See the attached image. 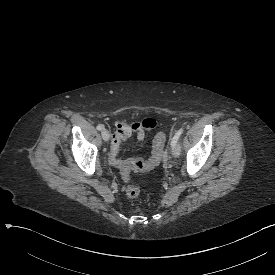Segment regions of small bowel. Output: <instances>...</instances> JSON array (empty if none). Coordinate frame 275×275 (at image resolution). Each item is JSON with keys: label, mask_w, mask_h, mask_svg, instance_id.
<instances>
[{"label": "small bowel", "mask_w": 275, "mask_h": 275, "mask_svg": "<svg viewBox=\"0 0 275 275\" xmlns=\"http://www.w3.org/2000/svg\"><path fill=\"white\" fill-rule=\"evenodd\" d=\"M114 126L111 127V134L115 135L110 148L109 160L111 164L114 166H121L123 161L118 157L119 151L121 148L122 140L131 139L132 132L137 134L138 142H142L144 140V133L146 131H152L158 128V121L147 118L141 121V123L137 122H127L122 119H115Z\"/></svg>", "instance_id": "c3829d8e"}]
</instances>
